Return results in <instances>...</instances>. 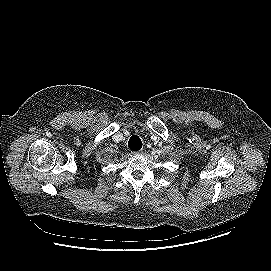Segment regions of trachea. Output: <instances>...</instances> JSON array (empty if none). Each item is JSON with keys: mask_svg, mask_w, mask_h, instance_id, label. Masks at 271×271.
Masks as SVG:
<instances>
[{"mask_svg": "<svg viewBox=\"0 0 271 271\" xmlns=\"http://www.w3.org/2000/svg\"><path fill=\"white\" fill-rule=\"evenodd\" d=\"M128 147L132 151H138L142 148V141L137 135H133L130 137L128 141Z\"/></svg>", "mask_w": 271, "mask_h": 271, "instance_id": "3493384b", "label": "trachea"}]
</instances>
